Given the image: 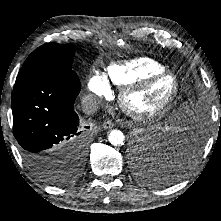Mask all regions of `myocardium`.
<instances>
[{
    "mask_svg": "<svg viewBox=\"0 0 221 221\" xmlns=\"http://www.w3.org/2000/svg\"><path fill=\"white\" fill-rule=\"evenodd\" d=\"M164 78H168L173 82V89L171 93L159 105L149 110H140L130 105L129 101L132 96L145 90L154 82ZM179 91L180 82L176 75L167 71L158 72L148 76L138 83L130 84L123 88L119 95V104L122 110L131 118L135 120H151L160 117L168 110V108L176 100Z\"/></svg>",
    "mask_w": 221,
    "mask_h": 221,
    "instance_id": "f54148a6",
    "label": "myocardium"
}]
</instances>
